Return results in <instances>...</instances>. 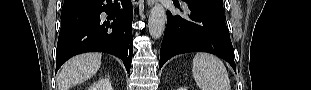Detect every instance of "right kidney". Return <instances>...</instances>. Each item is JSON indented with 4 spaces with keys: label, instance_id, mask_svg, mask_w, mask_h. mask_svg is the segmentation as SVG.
Returning <instances> with one entry per match:
<instances>
[{
    "label": "right kidney",
    "instance_id": "right-kidney-1",
    "mask_svg": "<svg viewBox=\"0 0 311 90\" xmlns=\"http://www.w3.org/2000/svg\"><path fill=\"white\" fill-rule=\"evenodd\" d=\"M88 90H112L111 82L108 79H103L90 86Z\"/></svg>",
    "mask_w": 311,
    "mask_h": 90
}]
</instances>
